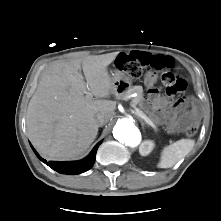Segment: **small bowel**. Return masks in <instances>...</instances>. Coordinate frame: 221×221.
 <instances>
[{
	"label": "small bowel",
	"instance_id": "c3829d8e",
	"mask_svg": "<svg viewBox=\"0 0 221 221\" xmlns=\"http://www.w3.org/2000/svg\"><path fill=\"white\" fill-rule=\"evenodd\" d=\"M139 53L154 55L138 51L124 54L130 55L131 58L135 59ZM154 82V76L146 79V85L151 89L150 103L153 109L158 113L159 118L167 125L170 132H176L183 122L194 120L197 117V111L194 109L187 110L179 115L180 105L173 103L171 96L160 95L153 90Z\"/></svg>",
	"mask_w": 221,
	"mask_h": 221
}]
</instances>
